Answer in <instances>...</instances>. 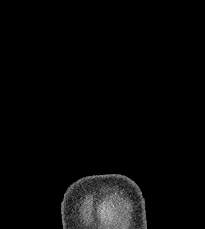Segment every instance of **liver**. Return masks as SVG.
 Here are the masks:
<instances>
[{
  "label": "liver",
  "instance_id": "1",
  "mask_svg": "<svg viewBox=\"0 0 205 229\" xmlns=\"http://www.w3.org/2000/svg\"><path fill=\"white\" fill-rule=\"evenodd\" d=\"M103 209L101 210V215H102V218H105L106 217V215H109V216H111V211L110 210H105V205L103 204Z\"/></svg>",
  "mask_w": 205,
  "mask_h": 229
}]
</instances>
